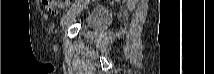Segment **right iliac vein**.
Returning a JSON list of instances; mask_svg holds the SVG:
<instances>
[{"instance_id": "63e3f726", "label": "right iliac vein", "mask_w": 214, "mask_h": 74, "mask_svg": "<svg viewBox=\"0 0 214 74\" xmlns=\"http://www.w3.org/2000/svg\"><path fill=\"white\" fill-rule=\"evenodd\" d=\"M86 5H87L86 2H82L77 6H73L72 9L67 13V15L64 16L62 24H65L70 19L76 18L81 13V11L86 7Z\"/></svg>"}]
</instances>
